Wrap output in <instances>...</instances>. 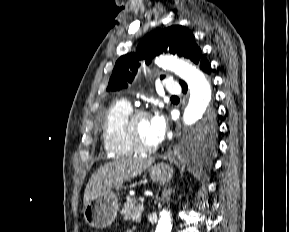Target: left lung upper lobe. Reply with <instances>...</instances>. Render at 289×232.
<instances>
[{"mask_svg": "<svg viewBox=\"0 0 289 232\" xmlns=\"http://www.w3.org/2000/svg\"><path fill=\"white\" fill-rule=\"evenodd\" d=\"M170 52L178 56H184L195 64H199L202 55L201 49L195 42V37L186 27L173 25L168 28L156 30L147 34L139 43L136 53H128L121 56L113 69L109 80L107 91L120 90L126 88L137 74L140 66L139 60H150L163 53ZM164 76H161L163 78ZM183 81H180V84ZM216 124L214 115L211 114L199 126L193 139V143L210 149L214 145Z\"/></svg>", "mask_w": 289, "mask_h": 232, "instance_id": "1", "label": "left lung upper lobe"}]
</instances>
